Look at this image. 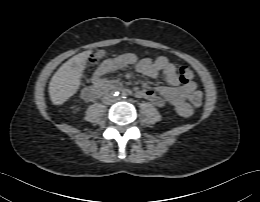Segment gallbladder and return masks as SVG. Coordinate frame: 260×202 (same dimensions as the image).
<instances>
[{
    "instance_id": "1",
    "label": "gallbladder",
    "mask_w": 260,
    "mask_h": 202,
    "mask_svg": "<svg viewBox=\"0 0 260 202\" xmlns=\"http://www.w3.org/2000/svg\"><path fill=\"white\" fill-rule=\"evenodd\" d=\"M102 55H103V52H102V51H100V52H98V53L96 54V57H97V58H101V57H102Z\"/></svg>"
}]
</instances>
